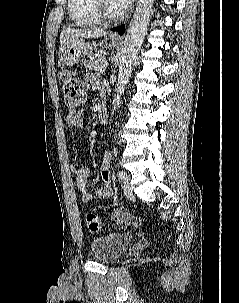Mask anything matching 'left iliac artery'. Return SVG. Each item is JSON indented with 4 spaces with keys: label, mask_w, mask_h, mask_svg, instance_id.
Instances as JSON below:
<instances>
[{
    "label": "left iliac artery",
    "mask_w": 239,
    "mask_h": 303,
    "mask_svg": "<svg viewBox=\"0 0 239 303\" xmlns=\"http://www.w3.org/2000/svg\"><path fill=\"white\" fill-rule=\"evenodd\" d=\"M117 177H118L119 180H122L123 177H124V173L121 172V171H119V172L117 173Z\"/></svg>",
    "instance_id": "44dca946"
}]
</instances>
